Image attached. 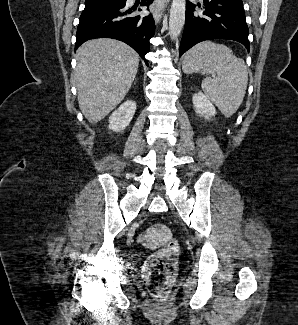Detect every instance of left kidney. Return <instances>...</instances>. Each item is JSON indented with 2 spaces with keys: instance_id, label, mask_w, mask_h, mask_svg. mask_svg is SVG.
Instances as JSON below:
<instances>
[{
  "instance_id": "1",
  "label": "left kidney",
  "mask_w": 298,
  "mask_h": 325,
  "mask_svg": "<svg viewBox=\"0 0 298 325\" xmlns=\"http://www.w3.org/2000/svg\"><path fill=\"white\" fill-rule=\"evenodd\" d=\"M192 102L194 110L198 116H204V118H208L209 120L211 116H215V114H217L214 104L210 102L209 98H207V96H205L204 92H201V90L193 94Z\"/></svg>"
}]
</instances>
